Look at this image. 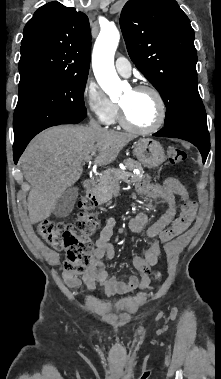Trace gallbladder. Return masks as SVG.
I'll return each mask as SVG.
<instances>
[{
  "mask_svg": "<svg viewBox=\"0 0 221 379\" xmlns=\"http://www.w3.org/2000/svg\"><path fill=\"white\" fill-rule=\"evenodd\" d=\"M77 196L78 192L76 187L67 188L59 197L53 210V214L56 217L68 216L74 208Z\"/></svg>",
  "mask_w": 221,
  "mask_h": 379,
  "instance_id": "gallbladder-1",
  "label": "gallbladder"
}]
</instances>
